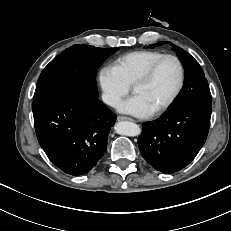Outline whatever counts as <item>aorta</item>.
Wrapping results in <instances>:
<instances>
[{
  "label": "aorta",
  "instance_id": "aorta-1",
  "mask_svg": "<svg viewBox=\"0 0 231 231\" xmlns=\"http://www.w3.org/2000/svg\"><path fill=\"white\" fill-rule=\"evenodd\" d=\"M114 129L117 134L125 136H138L141 133L140 127L137 124L129 121L116 123Z\"/></svg>",
  "mask_w": 231,
  "mask_h": 231
}]
</instances>
